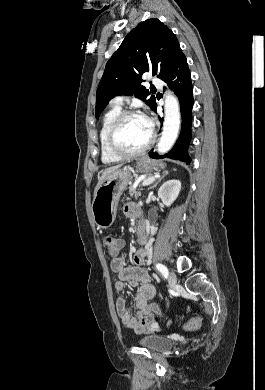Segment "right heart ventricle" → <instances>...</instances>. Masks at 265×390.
Masks as SVG:
<instances>
[{
	"instance_id": "1",
	"label": "right heart ventricle",
	"mask_w": 265,
	"mask_h": 390,
	"mask_svg": "<svg viewBox=\"0 0 265 390\" xmlns=\"http://www.w3.org/2000/svg\"><path fill=\"white\" fill-rule=\"evenodd\" d=\"M120 112L121 107L119 105H113L102 118V123L99 130V142L101 161L105 164L117 163L122 160L121 157L115 155L110 150L107 141L109 129Z\"/></svg>"
}]
</instances>
